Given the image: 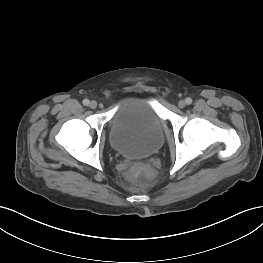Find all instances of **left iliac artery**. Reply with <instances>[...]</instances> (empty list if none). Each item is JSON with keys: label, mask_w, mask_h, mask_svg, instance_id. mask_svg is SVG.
I'll return each instance as SVG.
<instances>
[{"label": "left iliac artery", "mask_w": 263, "mask_h": 263, "mask_svg": "<svg viewBox=\"0 0 263 263\" xmlns=\"http://www.w3.org/2000/svg\"><path fill=\"white\" fill-rule=\"evenodd\" d=\"M185 102H186V104L189 105V104L192 103V99L188 97V98L185 99Z\"/></svg>", "instance_id": "1"}]
</instances>
